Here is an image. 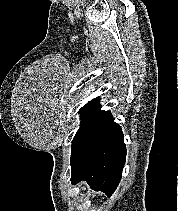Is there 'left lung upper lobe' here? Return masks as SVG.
Listing matches in <instances>:
<instances>
[{
	"label": "left lung upper lobe",
	"mask_w": 178,
	"mask_h": 211,
	"mask_svg": "<svg viewBox=\"0 0 178 211\" xmlns=\"http://www.w3.org/2000/svg\"><path fill=\"white\" fill-rule=\"evenodd\" d=\"M81 114V125L72 141V152L85 138L89 131L93 128L98 119L105 111H101L98 99L89 101L83 108L79 110Z\"/></svg>",
	"instance_id": "obj_1"
}]
</instances>
